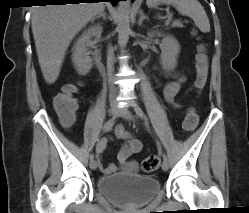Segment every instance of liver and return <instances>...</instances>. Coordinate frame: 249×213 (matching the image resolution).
Listing matches in <instances>:
<instances>
[{
    "label": "liver",
    "mask_w": 249,
    "mask_h": 213,
    "mask_svg": "<svg viewBox=\"0 0 249 213\" xmlns=\"http://www.w3.org/2000/svg\"><path fill=\"white\" fill-rule=\"evenodd\" d=\"M104 9L103 2L32 7L33 38L48 84L58 79L64 56L75 35Z\"/></svg>",
    "instance_id": "1"
}]
</instances>
